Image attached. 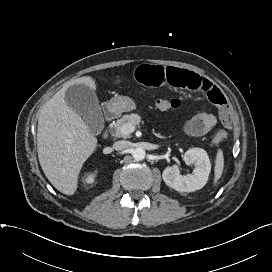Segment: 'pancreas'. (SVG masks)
Here are the masks:
<instances>
[{
  "mask_svg": "<svg viewBox=\"0 0 272 272\" xmlns=\"http://www.w3.org/2000/svg\"><path fill=\"white\" fill-rule=\"evenodd\" d=\"M141 123V117L138 114H129L124 115L122 118L118 119L114 124H112V128L114 130V136L119 138H130V134H124L121 131L123 125L132 124L133 126H137Z\"/></svg>",
  "mask_w": 272,
  "mask_h": 272,
  "instance_id": "obj_1",
  "label": "pancreas"
}]
</instances>
